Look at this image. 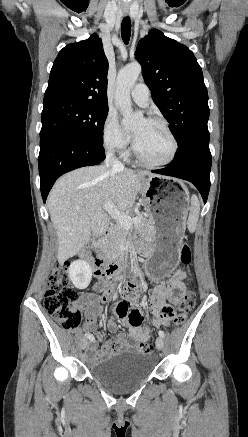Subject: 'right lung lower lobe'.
<instances>
[{"label":"right lung lower lobe","instance_id":"right-lung-lower-lobe-1","mask_svg":"<svg viewBox=\"0 0 248 437\" xmlns=\"http://www.w3.org/2000/svg\"><path fill=\"white\" fill-rule=\"evenodd\" d=\"M105 159L103 145L64 132L40 137L38 158L41 194L45 203L54 182L64 173Z\"/></svg>","mask_w":248,"mask_h":437}]
</instances>
